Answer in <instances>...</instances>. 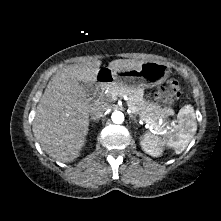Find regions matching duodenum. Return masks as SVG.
I'll return each mask as SVG.
<instances>
[{"label":"duodenum","mask_w":221,"mask_h":221,"mask_svg":"<svg viewBox=\"0 0 221 221\" xmlns=\"http://www.w3.org/2000/svg\"><path fill=\"white\" fill-rule=\"evenodd\" d=\"M112 81V76L110 73L103 72L99 73L97 76V87L102 88L104 85Z\"/></svg>","instance_id":"410a0bca"}]
</instances>
